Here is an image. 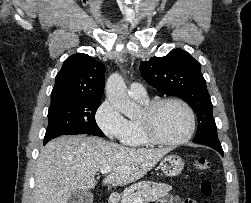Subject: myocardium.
I'll use <instances>...</instances> for the list:
<instances>
[{"mask_svg": "<svg viewBox=\"0 0 251 203\" xmlns=\"http://www.w3.org/2000/svg\"><path fill=\"white\" fill-rule=\"evenodd\" d=\"M167 103H177L181 105L187 112L189 116V129L184 136L176 140H167L161 138L155 131L154 128V118L161 106ZM139 123L146 140L155 145L162 146H178L189 141L195 130H196V115L193 108L182 98L179 97H165L156 99L150 103H148L143 110L142 116L139 119Z\"/></svg>", "mask_w": 251, "mask_h": 203, "instance_id": "f54148a6", "label": "myocardium"}]
</instances>
